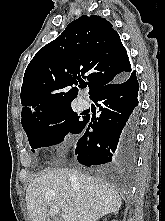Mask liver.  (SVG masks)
<instances>
[{
  "label": "liver",
  "instance_id": "1",
  "mask_svg": "<svg viewBox=\"0 0 165 221\" xmlns=\"http://www.w3.org/2000/svg\"><path fill=\"white\" fill-rule=\"evenodd\" d=\"M122 201L108 182L77 170L47 169L37 175L26 190L31 221H50L48 208L56 206L70 221H97L117 212ZM52 221H65L53 218Z\"/></svg>",
  "mask_w": 165,
  "mask_h": 221
}]
</instances>
